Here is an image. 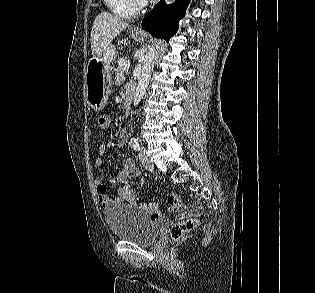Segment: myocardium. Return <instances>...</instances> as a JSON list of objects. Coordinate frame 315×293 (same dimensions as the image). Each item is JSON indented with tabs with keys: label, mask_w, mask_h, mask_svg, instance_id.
I'll use <instances>...</instances> for the list:
<instances>
[{
	"label": "myocardium",
	"mask_w": 315,
	"mask_h": 293,
	"mask_svg": "<svg viewBox=\"0 0 315 293\" xmlns=\"http://www.w3.org/2000/svg\"><path fill=\"white\" fill-rule=\"evenodd\" d=\"M136 8H142L145 6L142 0H132Z\"/></svg>",
	"instance_id": "obj_1"
}]
</instances>
